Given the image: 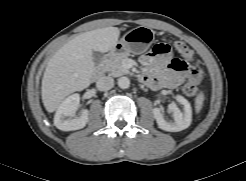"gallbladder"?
Instances as JSON below:
<instances>
[{"mask_svg": "<svg viewBox=\"0 0 246 181\" xmlns=\"http://www.w3.org/2000/svg\"><path fill=\"white\" fill-rule=\"evenodd\" d=\"M104 54L102 52L99 51H93L92 52V58H93V62L95 63V65H98L101 63V61L103 60Z\"/></svg>", "mask_w": 246, "mask_h": 181, "instance_id": "gallbladder-1", "label": "gallbladder"}]
</instances>
